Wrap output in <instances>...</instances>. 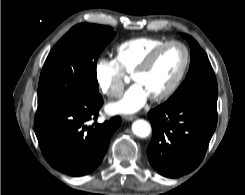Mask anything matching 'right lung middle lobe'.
Returning <instances> with one entry per match:
<instances>
[{"label":"right lung middle lobe","mask_w":245,"mask_h":195,"mask_svg":"<svg viewBox=\"0 0 245 195\" xmlns=\"http://www.w3.org/2000/svg\"><path fill=\"white\" fill-rule=\"evenodd\" d=\"M116 33L108 26L82 23L54 46L43 66L38 109L90 100L99 94L97 59Z\"/></svg>","instance_id":"right-lung-middle-lobe-1"}]
</instances>
